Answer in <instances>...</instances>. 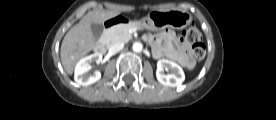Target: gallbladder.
I'll return each mask as SVG.
<instances>
[{"label":"gallbladder","mask_w":276,"mask_h":120,"mask_svg":"<svg viewBox=\"0 0 276 120\" xmlns=\"http://www.w3.org/2000/svg\"><path fill=\"white\" fill-rule=\"evenodd\" d=\"M91 30H92V33H93V35H94V37L96 39H99L102 36V34H103V26H102V24L93 23L91 25Z\"/></svg>","instance_id":"bac80fb5"}]
</instances>
